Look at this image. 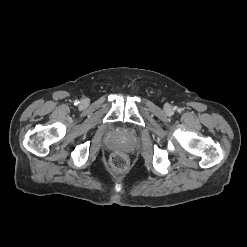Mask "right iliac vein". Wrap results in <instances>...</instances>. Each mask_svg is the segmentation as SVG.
<instances>
[{"label": "right iliac vein", "mask_w": 247, "mask_h": 247, "mask_svg": "<svg viewBox=\"0 0 247 247\" xmlns=\"http://www.w3.org/2000/svg\"><path fill=\"white\" fill-rule=\"evenodd\" d=\"M85 103H86V101H85V100H83V101H82V104H85Z\"/></svg>", "instance_id": "1"}]
</instances>
